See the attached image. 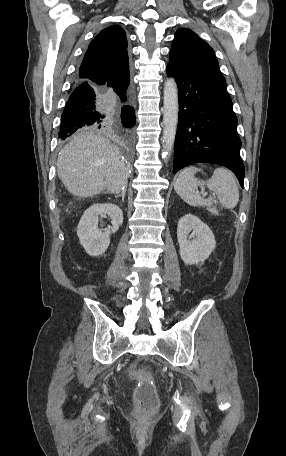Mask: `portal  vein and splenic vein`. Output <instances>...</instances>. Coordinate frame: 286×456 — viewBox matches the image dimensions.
<instances>
[{
  "label": "portal vein and splenic vein",
  "instance_id": "1",
  "mask_svg": "<svg viewBox=\"0 0 286 456\" xmlns=\"http://www.w3.org/2000/svg\"><path fill=\"white\" fill-rule=\"evenodd\" d=\"M207 195V193H203V196L205 197Z\"/></svg>",
  "mask_w": 286,
  "mask_h": 456
}]
</instances>
